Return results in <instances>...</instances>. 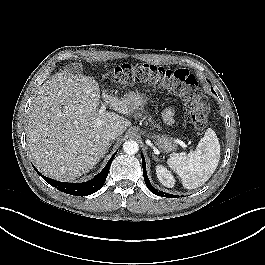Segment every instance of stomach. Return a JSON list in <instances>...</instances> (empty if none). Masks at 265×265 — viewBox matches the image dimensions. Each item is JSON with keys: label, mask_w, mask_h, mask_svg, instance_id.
<instances>
[{"label": "stomach", "mask_w": 265, "mask_h": 265, "mask_svg": "<svg viewBox=\"0 0 265 265\" xmlns=\"http://www.w3.org/2000/svg\"><path fill=\"white\" fill-rule=\"evenodd\" d=\"M130 98L133 100L136 108L143 105L146 101L144 95H133ZM153 138L157 140V145L163 152H172L176 149L174 139L168 135H154Z\"/></svg>", "instance_id": "0dacf381"}]
</instances>
